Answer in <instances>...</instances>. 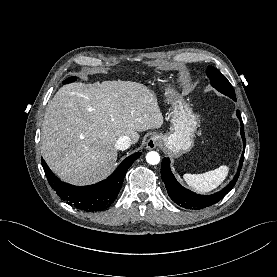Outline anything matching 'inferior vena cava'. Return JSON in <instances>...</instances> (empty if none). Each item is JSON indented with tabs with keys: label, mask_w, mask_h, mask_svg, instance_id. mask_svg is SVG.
<instances>
[{
	"label": "inferior vena cava",
	"mask_w": 277,
	"mask_h": 277,
	"mask_svg": "<svg viewBox=\"0 0 277 277\" xmlns=\"http://www.w3.org/2000/svg\"><path fill=\"white\" fill-rule=\"evenodd\" d=\"M131 146V138L129 136H121L115 143V147L119 150H126Z\"/></svg>",
	"instance_id": "inferior-vena-cava-1"
}]
</instances>
